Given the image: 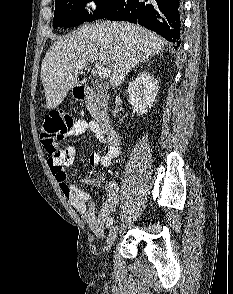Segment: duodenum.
<instances>
[{
	"label": "duodenum",
	"mask_w": 233,
	"mask_h": 294,
	"mask_svg": "<svg viewBox=\"0 0 233 294\" xmlns=\"http://www.w3.org/2000/svg\"><path fill=\"white\" fill-rule=\"evenodd\" d=\"M76 97L85 103H91L94 99V94L89 88L80 86L76 89ZM100 126L109 140L114 141L117 138V134L107 116L100 118Z\"/></svg>",
	"instance_id": "410a0bca"
}]
</instances>
